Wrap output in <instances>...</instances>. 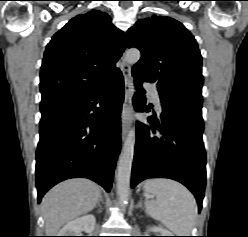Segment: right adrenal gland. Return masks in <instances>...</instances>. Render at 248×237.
<instances>
[{
  "label": "right adrenal gland",
  "instance_id": "2a0ac1e0",
  "mask_svg": "<svg viewBox=\"0 0 248 237\" xmlns=\"http://www.w3.org/2000/svg\"><path fill=\"white\" fill-rule=\"evenodd\" d=\"M100 202L103 203V197H102V195H100V197H99V200H98V202H97V206H99Z\"/></svg>",
  "mask_w": 248,
  "mask_h": 237
}]
</instances>
